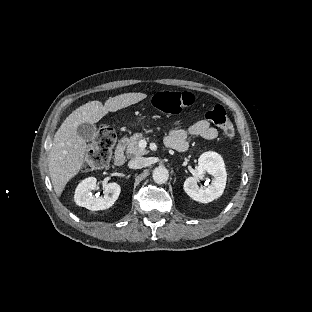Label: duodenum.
I'll use <instances>...</instances> for the list:
<instances>
[{
	"instance_id": "duodenum-1",
	"label": "duodenum",
	"mask_w": 312,
	"mask_h": 312,
	"mask_svg": "<svg viewBox=\"0 0 312 312\" xmlns=\"http://www.w3.org/2000/svg\"><path fill=\"white\" fill-rule=\"evenodd\" d=\"M126 141L121 139L114 152L113 162L117 167H122L126 162V152H125Z\"/></svg>"
}]
</instances>
